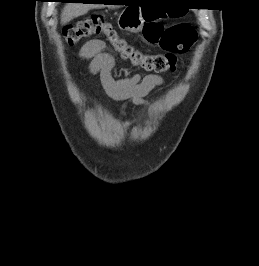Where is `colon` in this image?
I'll list each match as a JSON object with an SVG mask.
<instances>
[{"instance_id":"5ec220e1","label":"colon","mask_w":259,"mask_h":266,"mask_svg":"<svg viewBox=\"0 0 259 266\" xmlns=\"http://www.w3.org/2000/svg\"><path fill=\"white\" fill-rule=\"evenodd\" d=\"M160 18L157 11H147L143 35L146 41L158 45L165 53L149 54L136 49L122 38L101 14H92L68 26L64 31L65 43L71 46L82 39L104 37L124 59L146 71H174L177 55L187 52L192 47L197 38L196 31L187 24L165 27Z\"/></svg>"}]
</instances>
